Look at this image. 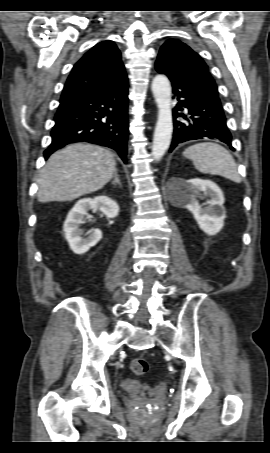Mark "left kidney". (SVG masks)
Returning a JSON list of instances; mask_svg holds the SVG:
<instances>
[{
  "label": "left kidney",
  "mask_w": 270,
  "mask_h": 453,
  "mask_svg": "<svg viewBox=\"0 0 270 453\" xmlns=\"http://www.w3.org/2000/svg\"><path fill=\"white\" fill-rule=\"evenodd\" d=\"M201 192L210 196L202 207L198 198L202 197ZM180 202L189 210L200 229L208 235H216L224 226L226 218L224 204V195L222 190L210 180L194 178L186 180L182 190Z\"/></svg>",
  "instance_id": "obj_1"
}]
</instances>
